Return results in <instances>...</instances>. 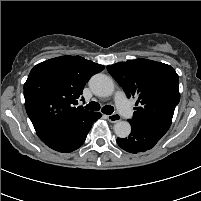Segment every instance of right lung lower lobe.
Returning a JSON list of instances; mask_svg holds the SVG:
<instances>
[{
	"label": "right lung lower lobe",
	"instance_id": "1",
	"mask_svg": "<svg viewBox=\"0 0 201 201\" xmlns=\"http://www.w3.org/2000/svg\"><path fill=\"white\" fill-rule=\"evenodd\" d=\"M101 117L94 112L82 124L67 129H40L36 130L38 137L50 148L59 152H71L78 149L85 141L94 121Z\"/></svg>",
	"mask_w": 201,
	"mask_h": 201
}]
</instances>
